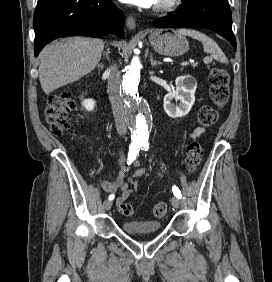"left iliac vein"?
<instances>
[{
    "instance_id": "1",
    "label": "left iliac vein",
    "mask_w": 272,
    "mask_h": 282,
    "mask_svg": "<svg viewBox=\"0 0 272 282\" xmlns=\"http://www.w3.org/2000/svg\"><path fill=\"white\" fill-rule=\"evenodd\" d=\"M171 203L174 208H178L180 205V200L177 197H172L171 198Z\"/></svg>"
}]
</instances>
